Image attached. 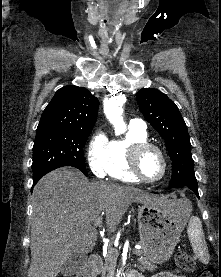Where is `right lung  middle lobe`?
Masks as SVG:
<instances>
[{"mask_svg": "<svg viewBox=\"0 0 221 277\" xmlns=\"http://www.w3.org/2000/svg\"><path fill=\"white\" fill-rule=\"evenodd\" d=\"M91 131L92 128L37 129L33 146V178L40 179L63 166L76 167L88 176L83 148Z\"/></svg>", "mask_w": 221, "mask_h": 277, "instance_id": "1", "label": "right lung middle lobe"}]
</instances>
